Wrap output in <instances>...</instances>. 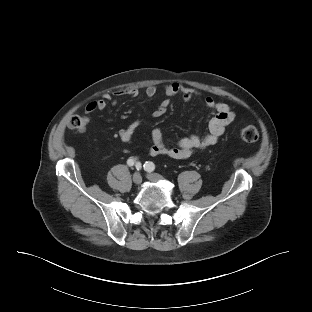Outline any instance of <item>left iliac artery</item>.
<instances>
[{"instance_id": "1", "label": "left iliac artery", "mask_w": 312, "mask_h": 312, "mask_svg": "<svg viewBox=\"0 0 312 312\" xmlns=\"http://www.w3.org/2000/svg\"><path fill=\"white\" fill-rule=\"evenodd\" d=\"M144 169L148 172H152L155 169V165L153 162L148 161L144 164Z\"/></svg>"}]
</instances>
